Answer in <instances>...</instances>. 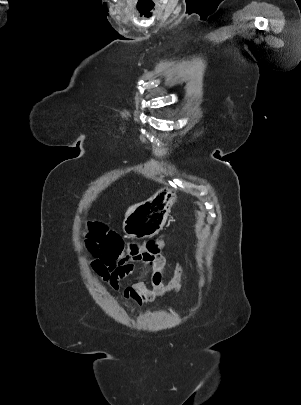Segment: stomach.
Instances as JSON below:
<instances>
[{
    "instance_id": "0dacf381",
    "label": "stomach",
    "mask_w": 301,
    "mask_h": 405,
    "mask_svg": "<svg viewBox=\"0 0 301 405\" xmlns=\"http://www.w3.org/2000/svg\"><path fill=\"white\" fill-rule=\"evenodd\" d=\"M175 200L176 196L171 190H159L126 216L123 223L125 234L137 239L154 236L165 224Z\"/></svg>"
}]
</instances>
